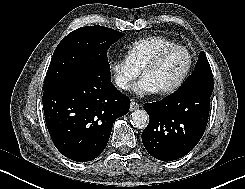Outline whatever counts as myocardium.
Segmentation results:
<instances>
[{
  "label": "myocardium",
  "instance_id": "1",
  "mask_svg": "<svg viewBox=\"0 0 245 189\" xmlns=\"http://www.w3.org/2000/svg\"><path fill=\"white\" fill-rule=\"evenodd\" d=\"M174 49H182L183 51L186 52L187 57H188V64H187V68L184 71L183 75L179 78L178 81H176L173 85L158 91L159 94L161 95H170L173 94L175 92H177L187 81V79L189 78L193 66H194V57L192 52L190 51L189 48H187L185 45L182 44H177V43H173L170 45H167L163 48H161L146 64L145 66L142 68V70L140 71L141 76H143V74L153 68H155L156 66H158L160 64V62L163 60V58L172 50Z\"/></svg>",
  "mask_w": 245,
  "mask_h": 189
}]
</instances>
